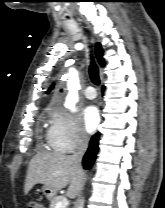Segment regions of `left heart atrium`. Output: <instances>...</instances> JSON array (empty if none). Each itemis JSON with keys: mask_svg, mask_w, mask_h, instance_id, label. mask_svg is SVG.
I'll return each instance as SVG.
<instances>
[{"mask_svg": "<svg viewBox=\"0 0 165 208\" xmlns=\"http://www.w3.org/2000/svg\"><path fill=\"white\" fill-rule=\"evenodd\" d=\"M100 121V115L97 107L88 106L83 111V123L88 132L96 129Z\"/></svg>", "mask_w": 165, "mask_h": 208, "instance_id": "1", "label": "left heart atrium"}]
</instances>
